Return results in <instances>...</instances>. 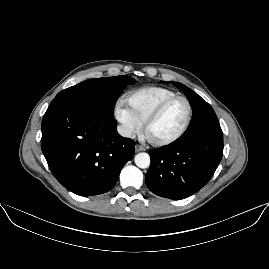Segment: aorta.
<instances>
[{
	"label": "aorta",
	"mask_w": 269,
	"mask_h": 269,
	"mask_svg": "<svg viewBox=\"0 0 269 269\" xmlns=\"http://www.w3.org/2000/svg\"><path fill=\"white\" fill-rule=\"evenodd\" d=\"M134 162L137 167L146 169L150 166V156L145 152L138 153L135 155Z\"/></svg>",
	"instance_id": "1"
}]
</instances>
